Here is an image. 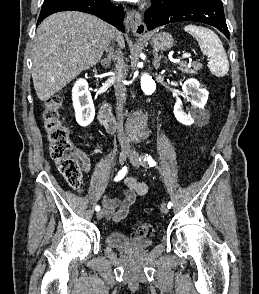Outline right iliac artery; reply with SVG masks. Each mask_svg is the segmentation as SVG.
<instances>
[{"label": "right iliac artery", "instance_id": "right-iliac-artery-1", "mask_svg": "<svg viewBox=\"0 0 259 294\" xmlns=\"http://www.w3.org/2000/svg\"><path fill=\"white\" fill-rule=\"evenodd\" d=\"M127 171H128V170H127V167L124 166V167L118 172L117 176L115 177V181H119V180L123 179L124 176L126 175ZM95 210H96V211H99V210H100V206L97 205V206L95 207Z\"/></svg>", "mask_w": 259, "mask_h": 294}]
</instances>
